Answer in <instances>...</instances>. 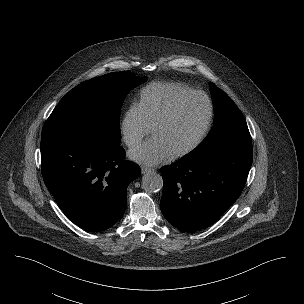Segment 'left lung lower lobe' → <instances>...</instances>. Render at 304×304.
<instances>
[{
  "instance_id": "1",
  "label": "left lung lower lobe",
  "mask_w": 304,
  "mask_h": 304,
  "mask_svg": "<svg viewBox=\"0 0 304 304\" xmlns=\"http://www.w3.org/2000/svg\"><path fill=\"white\" fill-rule=\"evenodd\" d=\"M252 160V144H230L163 166L164 217L182 232L212 225L240 196Z\"/></svg>"
}]
</instances>
